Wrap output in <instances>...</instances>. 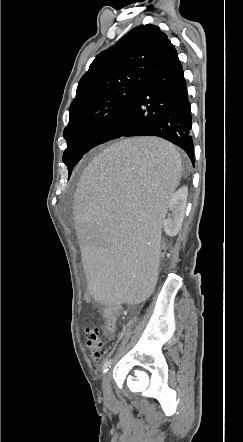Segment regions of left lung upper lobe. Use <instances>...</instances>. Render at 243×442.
<instances>
[{"label": "left lung upper lobe", "mask_w": 243, "mask_h": 442, "mask_svg": "<svg viewBox=\"0 0 243 442\" xmlns=\"http://www.w3.org/2000/svg\"><path fill=\"white\" fill-rule=\"evenodd\" d=\"M159 27L140 25L102 51L80 79L63 137V162L73 166L113 130L168 43Z\"/></svg>", "instance_id": "5c2ea615"}]
</instances>
